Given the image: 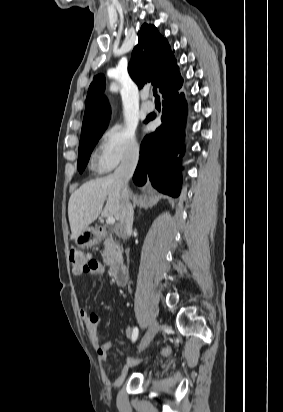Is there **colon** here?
Instances as JSON below:
<instances>
[{"mask_svg":"<svg viewBox=\"0 0 283 412\" xmlns=\"http://www.w3.org/2000/svg\"><path fill=\"white\" fill-rule=\"evenodd\" d=\"M69 262L72 271L77 274H90L98 270L99 263L94 259H88L87 256L77 250H71L69 253Z\"/></svg>","mask_w":283,"mask_h":412,"instance_id":"1","label":"colon"}]
</instances>
